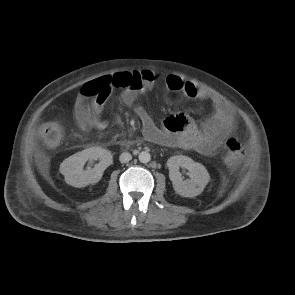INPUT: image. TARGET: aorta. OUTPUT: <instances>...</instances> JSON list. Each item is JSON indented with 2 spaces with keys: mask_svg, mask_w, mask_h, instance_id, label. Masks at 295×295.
<instances>
[{
  "mask_svg": "<svg viewBox=\"0 0 295 295\" xmlns=\"http://www.w3.org/2000/svg\"><path fill=\"white\" fill-rule=\"evenodd\" d=\"M138 158L141 163H148L151 160V155L146 151H142Z\"/></svg>",
  "mask_w": 295,
  "mask_h": 295,
  "instance_id": "aorta-1",
  "label": "aorta"
}]
</instances>
